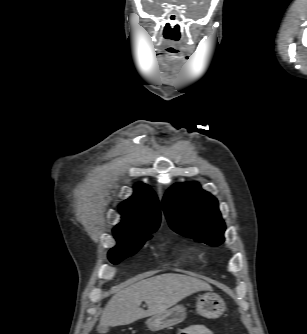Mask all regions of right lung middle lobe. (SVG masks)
<instances>
[{"label": "right lung middle lobe", "instance_id": "dd1d6c3e", "mask_svg": "<svg viewBox=\"0 0 307 334\" xmlns=\"http://www.w3.org/2000/svg\"><path fill=\"white\" fill-rule=\"evenodd\" d=\"M157 228L158 227L133 236L115 237L117 246L112 248L108 253L110 261L117 264L124 258L133 255L143 245L145 240L151 238L149 234L155 232Z\"/></svg>", "mask_w": 307, "mask_h": 334}]
</instances>
